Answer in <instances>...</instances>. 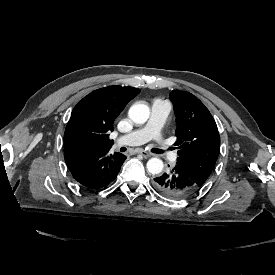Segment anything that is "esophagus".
I'll use <instances>...</instances> for the list:
<instances>
[{
	"label": "esophagus",
	"instance_id": "obj_1",
	"mask_svg": "<svg viewBox=\"0 0 275 275\" xmlns=\"http://www.w3.org/2000/svg\"><path fill=\"white\" fill-rule=\"evenodd\" d=\"M139 154H141L145 159H147V158H149V157H151V154L150 153H148L147 151H145V150H141V151H139Z\"/></svg>",
	"mask_w": 275,
	"mask_h": 275
}]
</instances>
